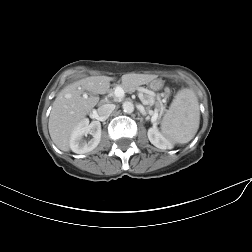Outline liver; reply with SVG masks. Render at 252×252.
<instances>
[{
    "label": "liver",
    "instance_id": "obj_1",
    "mask_svg": "<svg viewBox=\"0 0 252 252\" xmlns=\"http://www.w3.org/2000/svg\"><path fill=\"white\" fill-rule=\"evenodd\" d=\"M153 75L125 74L121 77L126 88L146 84ZM108 76H91L66 86L53 102L49 116V133L54 144L62 151L70 150V137L76 126L85 119L98 103L95 94L107 91L112 81Z\"/></svg>",
    "mask_w": 252,
    "mask_h": 252
}]
</instances>
